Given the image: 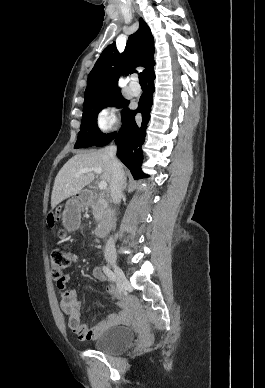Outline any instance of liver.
I'll list each match as a JSON object with an SVG mask.
<instances>
[{
    "instance_id": "obj_1",
    "label": "liver",
    "mask_w": 265,
    "mask_h": 388,
    "mask_svg": "<svg viewBox=\"0 0 265 388\" xmlns=\"http://www.w3.org/2000/svg\"><path fill=\"white\" fill-rule=\"evenodd\" d=\"M108 148L98 150V152H91V154H77L73 156L71 160H68L58 172L51 196V208H56L60 202L79 194L80 190H83L85 186L91 184L95 180V172H89V174H82L75 178L79 170L83 168H95L99 166L102 170L100 180L102 182H111V164L107 156Z\"/></svg>"
}]
</instances>
